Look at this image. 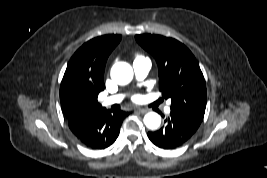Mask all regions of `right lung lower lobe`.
Returning <instances> with one entry per match:
<instances>
[{"label":"right lung lower lobe","mask_w":267,"mask_h":178,"mask_svg":"<svg viewBox=\"0 0 267 178\" xmlns=\"http://www.w3.org/2000/svg\"><path fill=\"white\" fill-rule=\"evenodd\" d=\"M127 112L98 109L80 112L67 117L70 130L84 146L91 149H105L112 145L119 135V129Z\"/></svg>","instance_id":"98d812e1"}]
</instances>
